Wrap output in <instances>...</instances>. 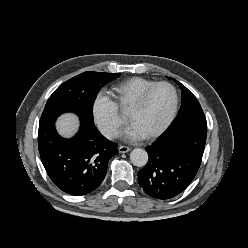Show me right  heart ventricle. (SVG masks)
<instances>
[{
    "instance_id": "obj_1",
    "label": "right heart ventricle",
    "mask_w": 248,
    "mask_h": 248,
    "mask_svg": "<svg viewBox=\"0 0 248 248\" xmlns=\"http://www.w3.org/2000/svg\"><path fill=\"white\" fill-rule=\"evenodd\" d=\"M153 83L155 81L150 79L132 77L112 85L108 93L118 109L126 113L138 96Z\"/></svg>"
}]
</instances>
